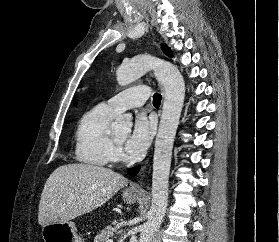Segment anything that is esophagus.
<instances>
[{
  "instance_id": "obj_1",
  "label": "esophagus",
  "mask_w": 279,
  "mask_h": 242,
  "mask_svg": "<svg viewBox=\"0 0 279 242\" xmlns=\"http://www.w3.org/2000/svg\"><path fill=\"white\" fill-rule=\"evenodd\" d=\"M159 87H160L161 91L163 92V88H162L161 84H159ZM146 164H147V163H145V164L143 165L142 169H141V177H142V178L145 176ZM129 190H130V191H134V192H139V191H141V187H140L139 184H132V185L130 186Z\"/></svg>"
}]
</instances>
